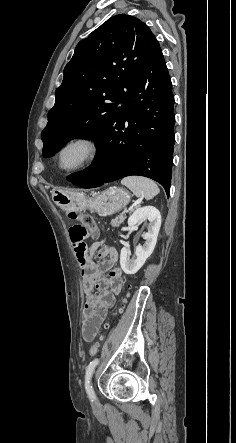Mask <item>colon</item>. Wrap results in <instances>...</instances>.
I'll use <instances>...</instances> for the list:
<instances>
[{
  "label": "colon",
  "instance_id": "5ec220e1",
  "mask_svg": "<svg viewBox=\"0 0 236 443\" xmlns=\"http://www.w3.org/2000/svg\"><path fill=\"white\" fill-rule=\"evenodd\" d=\"M68 217L77 222L73 227L70 228V237L72 240L84 242V240L89 236H96L98 233L96 222L90 214L80 213L77 211H69ZM86 245L83 243L79 245L80 250H85ZM108 325H106L107 327ZM101 344V339L96 340L89 348L88 354L94 356L98 353Z\"/></svg>",
  "mask_w": 236,
  "mask_h": 443
}]
</instances>
